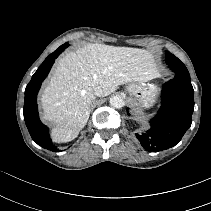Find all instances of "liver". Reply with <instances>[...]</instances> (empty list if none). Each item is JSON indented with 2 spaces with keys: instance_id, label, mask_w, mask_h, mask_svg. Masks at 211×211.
I'll use <instances>...</instances> for the list:
<instances>
[{
  "instance_id": "1",
  "label": "liver",
  "mask_w": 211,
  "mask_h": 211,
  "mask_svg": "<svg viewBox=\"0 0 211 211\" xmlns=\"http://www.w3.org/2000/svg\"><path fill=\"white\" fill-rule=\"evenodd\" d=\"M158 76L153 55L145 49L87 44L59 59L41 95L42 118L54 124L55 142H69L86 125L97 86L108 96L119 85Z\"/></svg>"
}]
</instances>
